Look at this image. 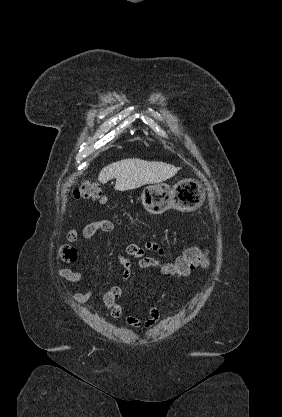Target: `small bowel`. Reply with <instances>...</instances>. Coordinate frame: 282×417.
Instances as JSON below:
<instances>
[{
    "mask_svg": "<svg viewBox=\"0 0 282 417\" xmlns=\"http://www.w3.org/2000/svg\"><path fill=\"white\" fill-rule=\"evenodd\" d=\"M116 231V225L113 221L107 219L95 220L85 225L82 230V236L86 239H92L97 233H113ZM67 240L70 243H77L79 238V232L76 228H72L68 231ZM150 250L157 252L159 255L166 257V251L161 248L158 244L153 242H147L144 247H140L135 243H131L127 247L126 253L119 252L117 254L119 262L123 267L121 274L122 281L126 282L130 279L132 275V262L131 257L138 259V266L140 269H161L164 267V263L161 261L144 256V251ZM56 274L69 282L76 283L83 278V273L80 271H75L70 268H59L56 271ZM122 289L120 286L111 287L103 296V301L105 306L110 311L111 315L115 318H120L123 316V309L119 303V298L121 297ZM93 296V289H89L85 292H75L72 295V300L76 303H86ZM167 297V292H162L159 295L158 301H162ZM148 318L144 321L139 318L126 315L124 319L128 325L134 328H141L143 330H149L156 325V323L162 318L163 312L157 306L147 307Z\"/></svg>",
    "mask_w": 282,
    "mask_h": 417,
    "instance_id": "obj_1",
    "label": "small bowel"
}]
</instances>
